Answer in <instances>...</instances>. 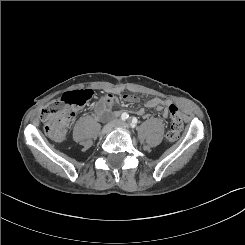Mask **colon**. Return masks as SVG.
Returning a JSON list of instances; mask_svg holds the SVG:
<instances>
[{
  "instance_id": "colon-1",
  "label": "colon",
  "mask_w": 245,
  "mask_h": 245,
  "mask_svg": "<svg viewBox=\"0 0 245 245\" xmlns=\"http://www.w3.org/2000/svg\"><path fill=\"white\" fill-rule=\"evenodd\" d=\"M92 97L93 92L89 89L73 90L46 105L41 110V118L45 122V133L56 142L64 141L67 129L74 118V110L87 104ZM168 113L171 118V125L166 134V141L172 143L178 139L183 129V121L176 105L170 104Z\"/></svg>"
}]
</instances>
